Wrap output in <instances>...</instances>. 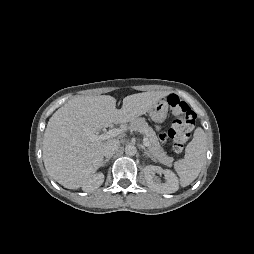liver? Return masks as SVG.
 Returning <instances> with one entry per match:
<instances>
[{
	"mask_svg": "<svg viewBox=\"0 0 254 254\" xmlns=\"http://www.w3.org/2000/svg\"><path fill=\"white\" fill-rule=\"evenodd\" d=\"M165 91L126 96L121 109L109 95L78 96L49 119L43 139V161L49 175L68 189L88 183L103 162L105 142L89 136L111 124H124L147 113Z\"/></svg>",
	"mask_w": 254,
	"mask_h": 254,
	"instance_id": "6515ba94",
	"label": "liver"
}]
</instances>
